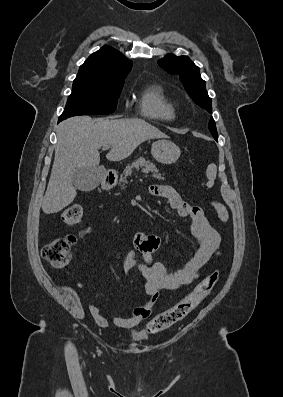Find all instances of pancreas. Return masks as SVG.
I'll list each match as a JSON object with an SVG mask.
<instances>
[{
	"label": "pancreas",
	"instance_id": "obj_1",
	"mask_svg": "<svg viewBox=\"0 0 283 397\" xmlns=\"http://www.w3.org/2000/svg\"><path fill=\"white\" fill-rule=\"evenodd\" d=\"M141 169L142 173L148 174L152 172V176L157 179H163L161 174L158 173V169L149 160H146L144 157H139L137 160L133 161L131 164L127 165L123 171V174L120 176L119 182L122 183V187L128 183V178L132 175L133 171H139Z\"/></svg>",
	"mask_w": 283,
	"mask_h": 397
}]
</instances>
